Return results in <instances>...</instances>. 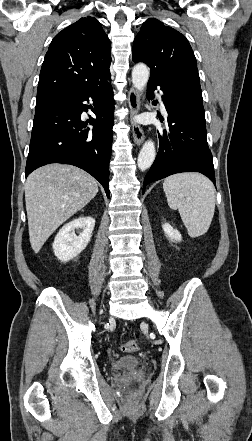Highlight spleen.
I'll list each match as a JSON object with an SVG mask.
<instances>
[{
  "instance_id": "1",
  "label": "spleen",
  "mask_w": 252,
  "mask_h": 441,
  "mask_svg": "<svg viewBox=\"0 0 252 441\" xmlns=\"http://www.w3.org/2000/svg\"><path fill=\"white\" fill-rule=\"evenodd\" d=\"M163 189L171 209L180 213L192 238L207 232L215 211V187L200 173H179L167 177Z\"/></svg>"
}]
</instances>
